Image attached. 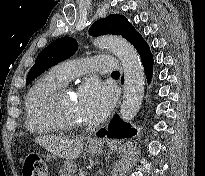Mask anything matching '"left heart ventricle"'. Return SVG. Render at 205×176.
I'll list each match as a JSON object with an SVG mask.
<instances>
[{
    "label": "left heart ventricle",
    "mask_w": 205,
    "mask_h": 176,
    "mask_svg": "<svg viewBox=\"0 0 205 176\" xmlns=\"http://www.w3.org/2000/svg\"><path fill=\"white\" fill-rule=\"evenodd\" d=\"M60 108L66 119L79 123H84L86 121L78 108L76 97L73 94H66L61 99Z\"/></svg>",
    "instance_id": "obj_1"
}]
</instances>
